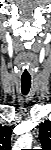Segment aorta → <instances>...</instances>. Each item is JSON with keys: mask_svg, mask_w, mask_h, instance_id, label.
I'll use <instances>...</instances> for the list:
<instances>
[{"mask_svg": "<svg viewBox=\"0 0 51 150\" xmlns=\"http://www.w3.org/2000/svg\"><path fill=\"white\" fill-rule=\"evenodd\" d=\"M32 135L26 133L21 135L13 146V150L29 149L32 145Z\"/></svg>", "mask_w": 51, "mask_h": 150, "instance_id": "1", "label": "aorta"}]
</instances>
